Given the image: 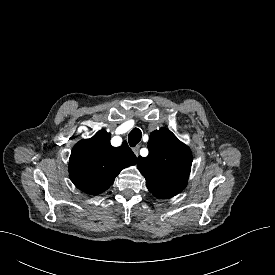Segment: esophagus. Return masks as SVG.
I'll use <instances>...</instances> for the list:
<instances>
[{
  "instance_id": "1",
  "label": "esophagus",
  "mask_w": 275,
  "mask_h": 275,
  "mask_svg": "<svg viewBox=\"0 0 275 275\" xmlns=\"http://www.w3.org/2000/svg\"><path fill=\"white\" fill-rule=\"evenodd\" d=\"M139 149H140V145H137V146H135V147L132 149L133 152H134V154H135L136 156L139 155Z\"/></svg>"
}]
</instances>
